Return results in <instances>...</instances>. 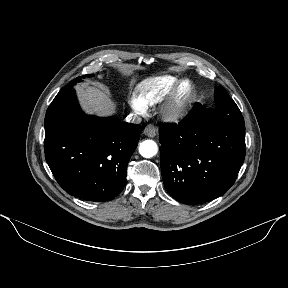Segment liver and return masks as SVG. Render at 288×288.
Masks as SVG:
<instances>
[{
  "label": "liver",
  "instance_id": "liver-1",
  "mask_svg": "<svg viewBox=\"0 0 288 288\" xmlns=\"http://www.w3.org/2000/svg\"><path fill=\"white\" fill-rule=\"evenodd\" d=\"M80 102L87 112L108 116L115 112V104L110 96L98 88L84 86L78 88Z\"/></svg>",
  "mask_w": 288,
  "mask_h": 288
}]
</instances>
